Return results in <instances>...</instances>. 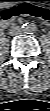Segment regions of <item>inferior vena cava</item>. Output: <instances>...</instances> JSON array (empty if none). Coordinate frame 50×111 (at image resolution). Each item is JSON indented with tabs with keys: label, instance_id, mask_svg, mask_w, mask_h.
<instances>
[{
	"label": "inferior vena cava",
	"instance_id": "1",
	"mask_svg": "<svg viewBox=\"0 0 50 111\" xmlns=\"http://www.w3.org/2000/svg\"><path fill=\"white\" fill-rule=\"evenodd\" d=\"M22 32V29L18 26H15V27H11V29L9 30V34L11 36H15V35H18Z\"/></svg>",
	"mask_w": 50,
	"mask_h": 111
}]
</instances>
